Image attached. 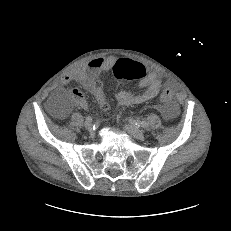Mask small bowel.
<instances>
[{"label": "small bowel", "mask_w": 231, "mask_h": 231, "mask_svg": "<svg viewBox=\"0 0 231 231\" xmlns=\"http://www.w3.org/2000/svg\"><path fill=\"white\" fill-rule=\"evenodd\" d=\"M115 61L116 59L112 56L94 58L88 64L78 67L70 73L64 74L59 84L67 85L71 82L81 84L83 88L91 91L96 96L100 106L105 108L104 105L106 102L104 97L94 92L93 84L102 73L109 71L113 67ZM138 85L142 89V92L130 93L119 91L115 94L116 102L122 106L145 103L158 96L164 86V81L158 73L146 71V75L139 79ZM71 94L78 107L83 109L88 107L83 94L78 89H73ZM161 113L166 119H173L178 114V106L172 103L162 108Z\"/></svg>", "instance_id": "1"}]
</instances>
